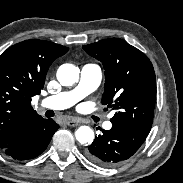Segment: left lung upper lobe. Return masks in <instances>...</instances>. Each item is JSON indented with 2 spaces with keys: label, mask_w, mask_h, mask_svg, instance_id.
I'll return each instance as SVG.
<instances>
[{
  "label": "left lung upper lobe",
  "mask_w": 183,
  "mask_h": 183,
  "mask_svg": "<svg viewBox=\"0 0 183 183\" xmlns=\"http://www.w3.org/2000/svg\"><path fill=\"white\" fill-rule=\"evenodd\" d=\"M105 69L102 104L116 112L113 123H125L149 134L156 100V78L152 63L137 48L119 38L84 45Z\"/></svg>",
  "instance_id": "obj_1"
}]
</instances>
